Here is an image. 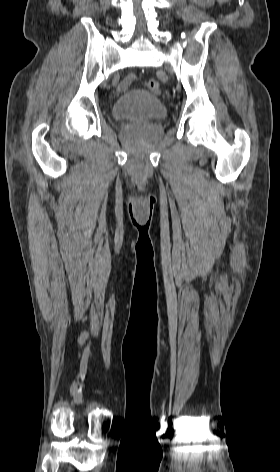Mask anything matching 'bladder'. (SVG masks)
I'll use <instances>...</instances> for the list:
<instances>
[{
	"instance_id": "31cf9c89",
	"label": "bladder",
	"mask_w": 280,
	"mask_h": 472,
	"mask_svg": "<svg viewBox=\"0 0 280 472\" xmlns=\"http://www.w3.org/2000/svg\"><path fill=\"white\" fill-rule=\"evenodd\" d=\"M118 121L151 122L166 118V109L153 94L144 90H132L120 96L112 107Z\"/></svg>"
}]
</instances>
